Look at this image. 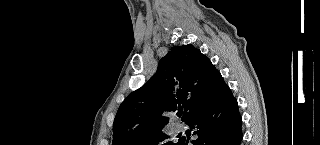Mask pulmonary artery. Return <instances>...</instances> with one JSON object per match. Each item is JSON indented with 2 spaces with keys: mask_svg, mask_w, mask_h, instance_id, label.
Wrapping results in <instances>:
<instances>
[{
  "mask_svg": "<svg viewBox=\"0 0 320 145\" xmlns=\"http://www.w3.org/2000/svg\"><path fill=\"white\" fill-rule=\"evenodd\" d=\"M172 129L175 131V132H182L184 130V126L181 124V123H174L172 125Z\"/></svg>",
  "mask_w": 320,
  "mask_h": 145,
  "instance_id": "1",
  "label": "pulmonary artery"
}]
</instances>
